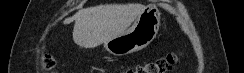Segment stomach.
I'll return each instance as SVG.
<instances>
[{
  "mask_svg": "<svg viewBox=\"0 0 244 73\" xmlns=\"http://www.w3.org/2000/svg\"><path fill=\"white\" fill-rule=\"evenodd\" d=\"M160 26V12L148 5L133 25L124 33L104 42V48L115 56H123L146 48L156 37Z\"/></svg>",
  "mask_w": 244,
  "mask_h": 73,
  "instance_id": "0dacf381",
  "label": "stomach"
}]
</instances>
